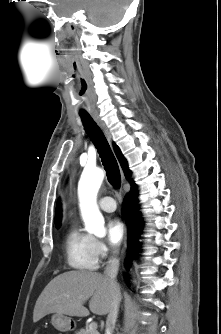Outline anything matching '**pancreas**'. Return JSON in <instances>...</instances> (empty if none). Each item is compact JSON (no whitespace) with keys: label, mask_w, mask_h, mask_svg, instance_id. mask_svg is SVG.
Wrapping results in <instances>:
<instances>
[{"label":"pancreas","mask_w":221,"mask_h":334,"mask_svg":"<svg viewBox=\"0 0 221 334\" xmlns=\"http://www.w3.org/2000/svg\"><path fill=\"white\" fill-rule=\"evenodd\" d=\"M75 334H99L98 331H90L89 329H80Z\"/></svg>","instance_id":"1"}]
</instances>
